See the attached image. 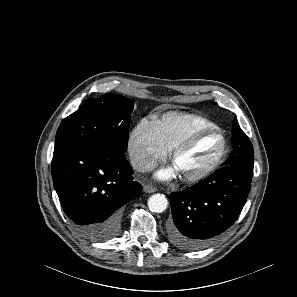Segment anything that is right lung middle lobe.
I'll return each instance as SVG.
<instances>
[{
    "instance_id": "1",
    "label": "right lung middle lobe",
    "mask_w": 297,
    "mask_h": 297,
    "mask_svg": "<svg viewBox=\"0 0 297 297\" xmlns=\"http://www.w3.org/2000/svg\"><path fill=\"white\" fill-rule=\"evenodd\" d=\"M133 102L118 94L89 98L60 124L55 146L97 143L126 152Z\"/></svg>"
}]
</instances>
